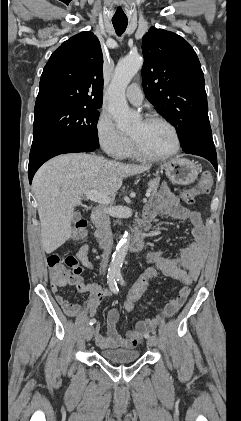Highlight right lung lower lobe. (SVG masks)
Segmentation results:
<instances>
[{"label":"right lung lower lobe","instance_id":"1","mask_svg":"<svg viewBox=\"0 0 241 421\" xmlns=\"http://www.w3.org/2000/svg\"><path fill=\"white\" fill-rule=\"evenodd\" d=\"M96 149L95 146L90 144L73 140L54 141L32 147L28 167L30 184L38 168L50 158L65 153L91 152Z\"/></svg>","mask_w":241,"mask_h":421}]
</instances>
